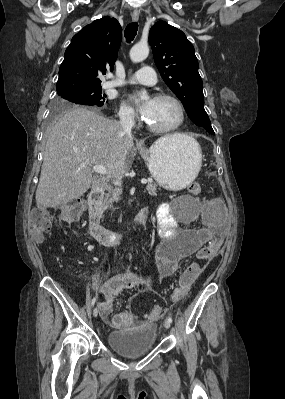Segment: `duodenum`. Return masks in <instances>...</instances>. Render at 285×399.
I'll use <instances>...</instances> for the list:
<instances>
[{"instance_id": "duodenum-1", "label": "duodenum", "mask_w": 285, "mask_h": 399, "mask_svg": "<svg viewBox=\"0 0 285 399\" xmlns=\"http://www.w3.org/2000/svg\"><path fill=\"white\" fill-rule=\"evenodd\" d=\"M103 199V190L100 187H95L89 196V230L91 236L99 243L116 244L126 241L131 231L142 227L145 223V210L139 209L132 225L126 229L113 230L108 229L101 224L99 217V206Z\"/></svg>"}]
</instances>
